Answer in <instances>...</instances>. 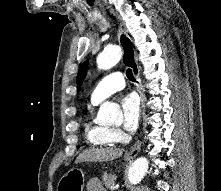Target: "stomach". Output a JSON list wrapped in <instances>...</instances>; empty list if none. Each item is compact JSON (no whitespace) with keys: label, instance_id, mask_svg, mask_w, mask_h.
<instances>
[{"label":"stomach","instance_id":"1","mask_svg":"<svg viewBox=\"0 0 221 191\" xmlns=\"http://www.w3.org/2000/svg\"><path fill=\"white\" fill-rule=\"evenodd\" d=\"M84 185L85 173L81 169L72 168L59 180L57 191H83Z\"/></svg>","mask_w":221,"mask_h":191}]
</instances>
